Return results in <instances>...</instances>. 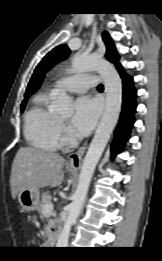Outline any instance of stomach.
Returning a JSON list of instances; mask_svg holds the SVG:
<instances>
[{"instance_id": "stomach-1", "label": "stomach", "mask_w": 162, "mask_h": 261, "mask_svg": "<svg viewBox=\"0 0 162 261\" xmlns=\"http://www.w3.org/2000/svg\"><path fill=\"white\" fill-rule=\"evenodd\" d=\"M70 172H75V169L68 168ZM40 193L38 189H24L18 193V201L21 207L26 211H33L39 205Z\"/></svg>"}]
</instances>
